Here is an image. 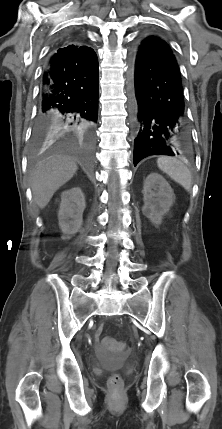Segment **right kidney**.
<instances>
[{
  "label": "right kidney",
  "mask_w": 222,
  "mask_h": 429,
  "mask_svg": "<svg viewBox=\"0 0 222 429\" xmlns=\"http://www.w3.org/2000/svg\"><path fill=\"white\" fill-rule=\"evenodd\" d=\"M85 207V196L81 188L74 187L61 193L58 220L64 238H69L81 229Z\"/></svg>",
  "instance_id": "1"
}]
</instances>
